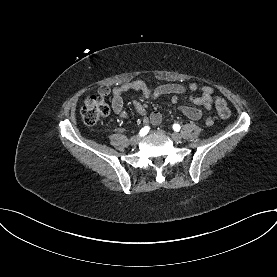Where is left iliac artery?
I'll list each match as a JSON object with an SVG mask.
<instances>
[{"instance_id": "left-iliac-artery-1", "label": "left iliac artery", "mask_w": 277, "mask_h": 277, "mask_svg": "<svg viewBox=\"0 0 277 277\" xmlns=\"http://www.w3.org/2000/svg\"><path fill=\"white\" fill-rule=\"evenodd\" d=\"M173 129H174L175 131H179V130H180V125H179V124H174V125H173Z\"/></svg>"}]
</instances>
